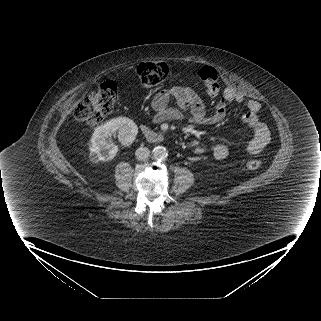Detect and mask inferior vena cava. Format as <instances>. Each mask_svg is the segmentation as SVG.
<instances>
[{
    "label": "inferior vena cava",
    "instance_id": "1",
    "mask_svg": "<svg viewBox=\"0 0 321 321\" xmlns=\"http://www.w3.org/2000/svg\"><path fill=\"white\" fill-rule=\"evenodd\" d=\"M135 155L138 160L145 161L150 156V150L147 147H139Z\"/></svg>",
    "mask_w": 321,
    "mask_h": 321
}]
</instances>
